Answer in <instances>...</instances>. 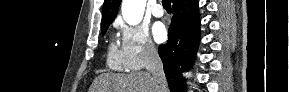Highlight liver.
<instances>
[{"mask_svg":"<svg viewBox=\"0 0 289 92\" xmlns=\"http://www.w3.org/2000/svg\"><path fill=\"white\" fill-rule=\"evenodd\" d=\"M166 91L163 92H167ZM90 92H160L149 72H136L129 75L103 73L99 75Z\"/></svg>","mask_w":289,"mask_h":92,"instance_id":"obj_1","label":"liver"}]
</instances>
